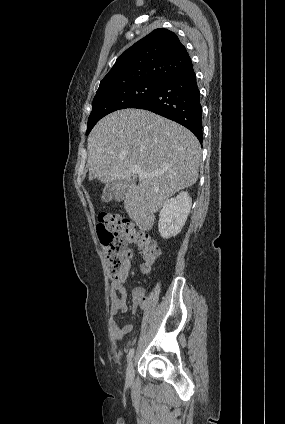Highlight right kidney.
I'll return each instance as SVG.
<instances>
[{
  "instance_id": "1",
  "label": "right kidney",
  "mask_w": 285,
  "mask_h": 424,
  "mask_svg": "<svg viewBox=\"0 0 285 424\" xmlns=\"http://www.w3.org/2000/svg\"><path fill=\"white\" fill-rule=\"evenodd\" d=\"M192 206L188 192L167 199L159 214L158 229L162 238L169 239L182 230Z\"/></svg>"
}]
</instances>
